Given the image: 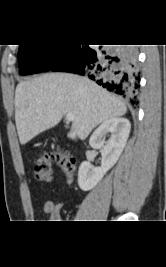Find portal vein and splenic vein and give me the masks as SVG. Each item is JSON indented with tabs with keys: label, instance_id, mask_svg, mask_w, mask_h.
Returning <instances> with one entry per match:
<instances>
[{
	"label": "portal vein and splenic vein",
	"instance_id": "obj_1",
	"mask_svg": "<svg viewBox=\"0 0 166 267\" xmlns=\"http://www.w3.org/2000/svg\"><path fill=\"white\" fill-rule=\"evenodd\" d=\"M74 118H75L74 114H71V113L66 114V120L68 122H72L74 120Z\"/></svg>",
	"mask_w": 166,
	"mask_h": 267
}]
</instances>
